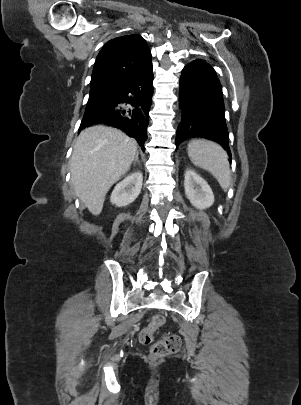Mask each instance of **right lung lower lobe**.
<instances>
[{"mask_svg":"<svg viewBox=\"0 0 301 405\" xmlns=\"http://www.w3.org/2000/svg\"><path fill=\"white\" fill-rule=\"evenodd\" d=\"M152 81L153 71L150 61L116 90L111 98L86 108L79 131L93 124L103 123L119 128L130 137H134L144 150L153 94Z\"/></svg>","mask_w":301,"mask_h":405,"instance_id":"right-lung-lower-lobe-1","label":"right lung lower lobe"}]
</instances>
